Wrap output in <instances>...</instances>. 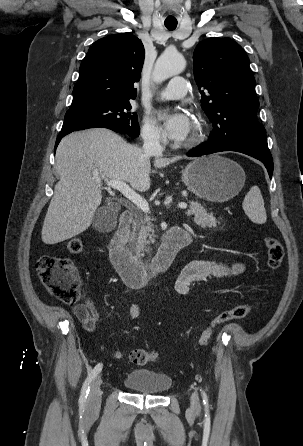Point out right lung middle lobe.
<instances>
[{
	"instance_id": "obj_1",
	"label": "right lung middle lobe",
	"mask_w": 303,
	"mask_h": 446,
	"mask_svg": "<svg viewBox=\"0 0 303 446\" xmlns=\"http://www.w3.org/2000/svg\"><path fill=\"white\" fill-rule=\"evenodd\" d=\"M129 100H119L69 109L66 112L61 132L87 123L111 125L131 137L139 136L137 114L130 112Z\"/></svg>"
}]
</instances>
